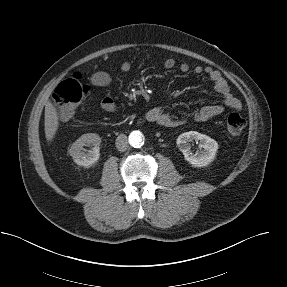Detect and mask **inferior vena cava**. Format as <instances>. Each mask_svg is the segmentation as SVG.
I'll list each match as a JSON object with an SVG mask.
<instances>
[{"instance_id":"obj_1","label":"inferior vena cava","mask_w":287,"mask_h":287,"mask_svg":"<svg viewBox=\"0 0 287 287\" xmlns=\"http://www.w3.org/2000/svg\"><path fill=\"white\" fill-rule=\"evenodd\" d=\"M116 148L121 151L124 152L127 150L128 148V139L127 136L125 134H120L117 138H116Z\"/></svg>"}]
</instances>
